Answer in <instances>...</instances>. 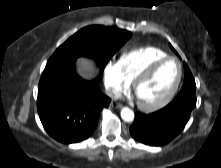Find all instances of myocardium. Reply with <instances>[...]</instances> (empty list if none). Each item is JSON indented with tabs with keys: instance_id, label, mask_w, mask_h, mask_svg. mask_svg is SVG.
<instances>
[{
	"instance_id": "obj_1",
	"label": "myocardium",
	"mask_w": 221,
	"mask_h": 168,
	"mask_svg": "<svg viewBox=\"0 0 221 168\" xmlns=\"http://www.w3.org/2000/svg\"><path fill=\"white\" fill-rule=\"evenodd\" d=\"M168 61H175L178 65V77H177V80H176L175 84L173 85L171 90L162 99H160L157 102L147 104V103H142V102L138 101V105L142 110H144V111L158 110V109L166 106L173 99L175 94L177 93V91L180 87L181 81H182V77H183V66H182L181 61L178 58L173 57V56H166V57L158 59V60L154 61L153 63H151L150 65H148L132 81V88H133V91L135 93L138 86L141 83L146 81L155 72V70L159 66H161L162 64H164Z\"/></svg>"
}]
</instances>
